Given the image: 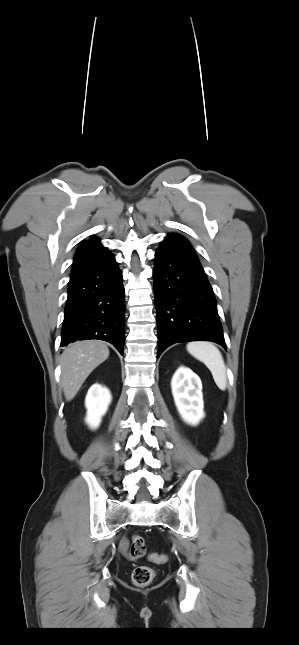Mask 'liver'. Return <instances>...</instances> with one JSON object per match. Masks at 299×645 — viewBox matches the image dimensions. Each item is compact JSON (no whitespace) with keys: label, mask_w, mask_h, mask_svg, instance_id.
I'll use <instances>...</instances> for the list:
<instances>
[{"label":"liver","mask_w":299,"mask_h":645,"mask_svg":"<svg viewBox=\"0 0 299 645\" xmlns=\"http://www.w3.org/2000/svg\"><path fill=\"white\" fill-rule=\"evenodd\" d=\"M109 357L108 347L101 341H78L61 355V384L64 396L71 401L90 373Z\"/></svg>","instance_id":"obj_1"}]
</instances>
